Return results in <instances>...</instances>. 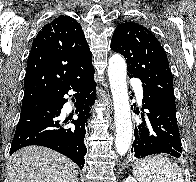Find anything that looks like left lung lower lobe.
Returning a JSON list of instances; mask_svg holds the SVG:
<instances>
[{
	"label": "left lung lower lobe",
	"mask_w": 196,
	"mask_h": 182,
	"mask_svg": "<svg viewBox=\"0 0 196 182\" xmlns=\"http://www.w3.org/2000/svg\"><path fill=\"white\" fill-rule=\"evenodd\" d=\"M129 77L134 76L129 75ZM142 103V122L135 126V139L131 152L136 158L160 153L180 157L182 144L177 125L176 109L144 86ZM133 106L135 109V104ZM136 113L139 114L138 109H136Z\"/></svg>",
	"instance_id": "left-lung-lower-lobe-1"
}]
</instances>
